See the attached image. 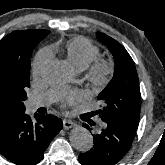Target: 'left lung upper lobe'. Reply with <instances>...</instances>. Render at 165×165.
I'll return each instance as SVG.
<instances>
[{"instance_id": "5c2ea615", "label": "left lung upper lobe", "mask_w": 165, "mask_h": 165, "mask_svg": "<svg viewBox=\"0 0 165 165\" xmlns=\"http://www.w3.org/2000/svg\"><path fill=\"white\" fill-rule=\"evenodd\" d=\"M96 35L107 46L115 61L114 76L98 95L103 107L96 114L105 123L135 133L140 118V88L134 62L119 42L101 32Z\"/></svg>"}]
</instances>
